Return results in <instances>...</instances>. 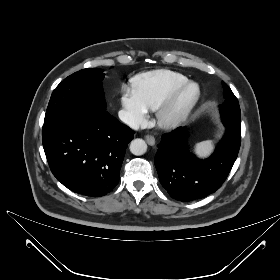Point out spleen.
I'll return each mask as SVG.
<instances>
[{"instance_id":"obj_1","label":"spleen","mask_w":280,"mask_h":280,"mask_svg":"<svg viewBox=\"0 0 280 280\" xmlns=\"http://www.w3.org/2000/svg\"><path fill=\"white\" fill-rule=\"evenodd\" d=\"M212 150V141H203L195 145V153L201 158L209 156Z\"/></svg>"}]
</instances>
